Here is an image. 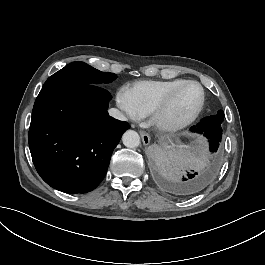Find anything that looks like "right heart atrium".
Here are the masks:
<instances>
[{
	"instance_id": "1",
	"label": "right heart atrium",
	"mask_w": 265,
	"mask_h": 265,
	"mask_svg": "<svg viewBox=\"0 0 265 265\" xmlns=\"http://www.w3.org/2000/svg\"><path fill=\"white\" fill-rule=\"evenodd\" d=\"M115 97L124 120L130 125L137 124L141 119V114L133 101L131 90L126 86H121L116 90Z\"/></svg>"
}]
</instances>
